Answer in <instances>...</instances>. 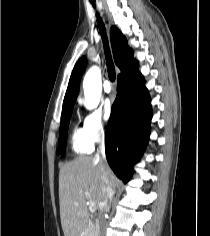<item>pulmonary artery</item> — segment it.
Returning a JSON list of instances; mask_svg holds the SVG:
<instances>
[{
	"instance_id": "e3ab8cb5",
	"label": "pulmonary artery",
	"mask_w": 210,
	"mask_h": 236,
	"mask_svg": "<svg viewBox=\"0 0 210 236\" xmlns=\"http://www.w3.org/2000/svg\"><path fill=\"white\" fill-rule=\"evenodd\" d=\"M103 88H104V91H105L106 93L112 92L111 85H110V83H109L108 81H106V82L104 83Z\"/></svg>"
}]
</instances>
